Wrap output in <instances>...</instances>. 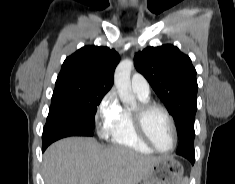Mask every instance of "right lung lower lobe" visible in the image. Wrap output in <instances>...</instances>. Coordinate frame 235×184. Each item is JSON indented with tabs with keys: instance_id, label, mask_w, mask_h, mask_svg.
Returning a JSON list of instances; mask_svg holds the SVG:
<instances>
[{
	"instance_id": "98d812e1",
	"label": "right lung lower lobe",
	"mask_w": 235,
	"mask_h": 184,
	"mask_svg": "<svg viewBox=\"0 0 235 184\" xmlns=\"http://www.w3.org/2000/svg\"><path fill=\"white\" fill-rule=\"evenodd\" d=\"M70 136H93V130L64 110L50 107L42 135V151L54 141Z\"/></svg>"
}]
</instances>
